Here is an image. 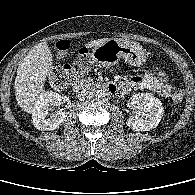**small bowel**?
<instances>
[{
	"instance_id": "c3829d8e",
	"label": "small bowel",
	"mask_w": 195,
	"mask_h": 195,
	"mask_svg": "<svg viewBox=\"0 0 195 195\" xmlns=\"http://www.w3.org/2000/svg\"><path fill=\"white\" fill-rule=\"evenodd\" d=\"M133 89H149L162 97H169L171 91L167 81H160L151 73L136 75L120 85L121 94H126Z\"/></svg>"
}]
</instances>
